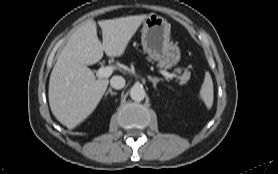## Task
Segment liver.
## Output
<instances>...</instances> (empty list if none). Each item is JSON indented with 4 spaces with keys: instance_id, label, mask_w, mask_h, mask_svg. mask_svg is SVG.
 Instances as JSON below:
<instances>
[{
    "instance_id": "liver-1",
    "label": "liver",
    "mask_w": 278,
    "mask_h": 174,
    "mask_svg": "<svg viewBox=\"0 0 278 174\" xmlns=\"http://www.w3.org/2000/svg\"><path fill=\"white\" fill-rule=\"evenodd\" d=\"M147 15H133L98 22L103 41L98 39L97 24L88 20L68 39L58 56L49 80V105L56 119L73 129L97 107L109 84L96 79L87 65L109 57L123 55Z\"/></svg>"
}]
</instances>
